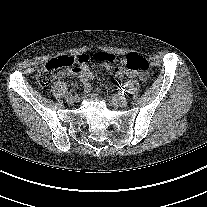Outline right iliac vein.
<instances>
[{
  "mask_svg": "<svg viewBox=\"0 0 207 207\" xmlns=\"http://www.w3.org/2000/svg\"><path fill=\"white\" fill-rule=\"evenodd\" d=\"M76 101V98L74 96L67 97V102L70 104H73Z\"/></svg>",
  "mask_w": 207,
  "mask_h": 207,
  "instance_id": "right-iliac-vein-1",
  "label": "right iliac vein"
}]
</instances>
